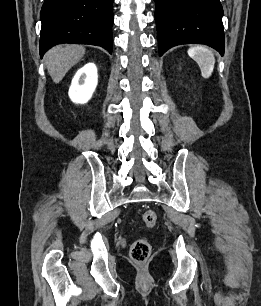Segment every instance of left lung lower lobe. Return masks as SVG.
Segmentation results:
<instances>
[{
	"label": "left lung lower lobe",
	"mask_w": 261,
	"mask_h": 306,
	"mask_svg": "<svg viewBox=\"0 0 261 306\" xmlns=\"http://www.w3.org/2000/svg\"><path fill=\"white\" fill-rule=\"evenodd\" d=\"M159 55L188 43L206 44L224 54L223 9L219 0H154Z\"/></svg>",
	"instance_id": "1"
}]
</instances>
